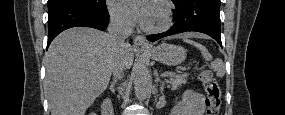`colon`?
Returning <instances> with one entry per match:
<instances>
[{"mask_svg":"<svg viewBox=\"0 0 285 115\" xmlns=\"http://www.w3.org/2000/svg\"><path fill=\"white\" fill-rule=\"evenodd\" d=\"M199 79L206 92V114L218 115L222 105V93L213 73L208 69L200 72Z\"/></svg>","mask_w":285,"mask_h":115,"instance_id":"colon-1","label":"colon"}]
</instances>
